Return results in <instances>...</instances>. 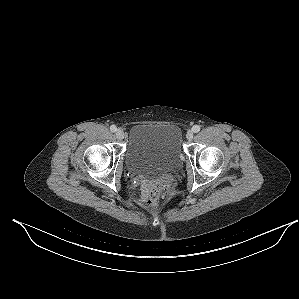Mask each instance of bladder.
<instances>
[{"label":"bladder","instance_id":"obj_1","mask_svg":"<svg viewBox=\"0 0 299 299\" xmlns=\"http://www.w3.org/2000/svg\"><path fill=\"white\" fill-rule=\"evenodd\" d=\"M125 161L138 175L161 177L177 171L182 161L179 127L168 123L135 125Z\"/></svg>","mask_w":299,"mask_h":299}]
</instances>
